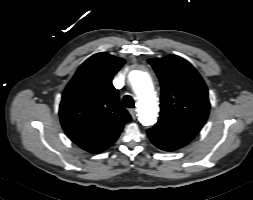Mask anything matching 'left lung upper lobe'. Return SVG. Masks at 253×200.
<instances>
[{"mask_svg":"<svg viewBox=\"0 0 253 200\" xmlns=\"http://www.w3.org/2000/svg\"><path fill=\"white\" fill-rule=\"evenodd\" d=\"M161 83L159 125L197 133L209 114L207 87L185 59L169 55L148 60Z\"/></svg>","mask_w":253,"mask_h":200,"instance_id":"obj_1","label":"left lung upper lobe"}]
</instances>
